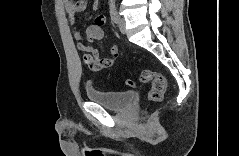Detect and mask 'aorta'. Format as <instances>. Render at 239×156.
I'll return each mask as SVG.
<instances>
[{
  "label": "aorta",
  "instance_id": "obj_1",
  "mask_svg": "<svg viewBox=\"0 0 239 156\" xmlns=\"http://www.w3.org/2000/svg\"><path fill=\"white\" fill-rule=\"evenodd\" d=\"M114 2H115L114 0H110V3H111V4H114Z\"/></svg>",
  "mask_w": 239,
  "mask_h": 156
}]
</instances>
